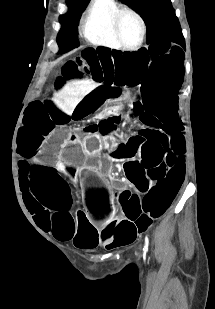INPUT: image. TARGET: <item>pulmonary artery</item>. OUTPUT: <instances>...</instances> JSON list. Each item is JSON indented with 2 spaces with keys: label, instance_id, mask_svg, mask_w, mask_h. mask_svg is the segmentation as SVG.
<instances>
[{
  "label": "pulmonary artery",
  "instance_id": "obj_1",
  "mask_svg": "<svg viewBox=\"0 0 215 309\" xmlns=\"http://www.w3.org/2000/svg\"><path fill=\"white\" fill-rule=\"evenodd\" d=\"M93 6L96 8L93 10L94 16H105L106 11L114 7V2L109 0H98L94 1Z\"/></svg>",
  "mask_w": 215,
  "mask_h": 309
}]
</instances>
